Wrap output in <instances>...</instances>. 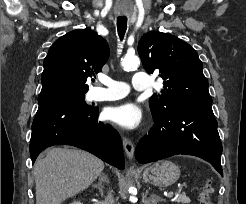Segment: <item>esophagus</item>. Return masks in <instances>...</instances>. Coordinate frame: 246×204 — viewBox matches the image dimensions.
Segmentation results:
<instances>
[{
    "mask_svg": "<svg viewBox=\"0 0 246 204\" xmlns=\"http://www.w3.org/2000/svg\"><path fill=\"white\" fill-rule=\"evenodd\" d=\"M123 147H124L125 153L128 156V158L132 159L134 156V150H135L133 142L130 139L124 137Z\"/></svg>",
    "mask_w": 246,
    "mask_h": 204,
    "instance_id": "esophagus-1",
    "label": "esophagus"
}]
</instances>
